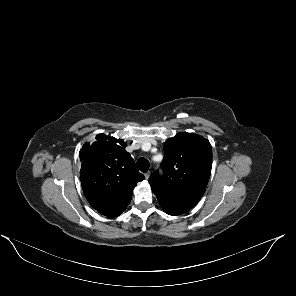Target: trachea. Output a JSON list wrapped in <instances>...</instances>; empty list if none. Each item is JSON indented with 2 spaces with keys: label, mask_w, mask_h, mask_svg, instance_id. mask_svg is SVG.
Wrapping results in <instances>:
<instances>
[{
  "label": "trachea",
  "mask_w": 296,
  "mask_h": 296,
  "mask_svg": "<svg viewBox=\"0 0 296 296\" xmlns=\"http://www.w3.org/2000/svg\"><path fill=\"white\" fill-rule=\"evenodd\" d=\"M137 168L142 172H147L149 169V161L145 158L138 159Z\"/></svg>",
  "instance_id": "3493384b"
}]
</instances>
